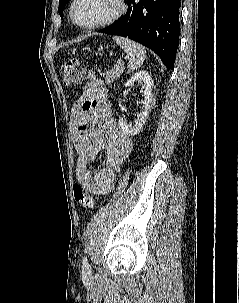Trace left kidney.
Listing matches in <instances>:
<instances>
[{
  "label": "left kidney",
  "mask_w": 239,
  "mask_h": 303,
  "mask_svg": "<svg viewBox=\"0 0 239 303\" xmlns=\"http://www.w3.org/2000/svg\"><path fill=\"white\" fill-rule=\"evenodd\" d=\"M135 82H138L143 85L144 92L143 96L144 99L142 101V110L140 113L137 115V119L135 121V125H129L126 123V121L122 118L119 117L118 123L123 129V131L129 135V136H134L136 135L140 129L143 127V125L146 122L149 108H150V103L152 102V87H153V80L151 75L147 71H139L132 75L130 79L125 83V87H129L133 85Z\"/></svg>",
  "instance_id": "left-kidney-1"
}]
</instances>
